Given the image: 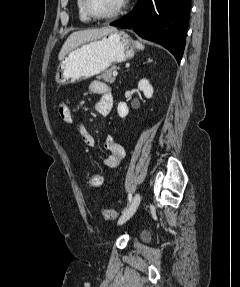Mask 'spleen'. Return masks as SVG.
<instances>
[{
  "label": "spleen",
  "mask_w": 240,
  "mask_h": 287,
  "mask_svg": "<svg viewBox=\"0 0 240 287\" xmlns=\"http://www.w3.org/2000/svg\"><path fill=\"white\" fill-rule=\"evenodd\" d=\"M135 45L138 50H144L145 48L144 45L140 43L139 41H135Z\"/></svg>",
  "instance_id": "1"
}]
</instances>
